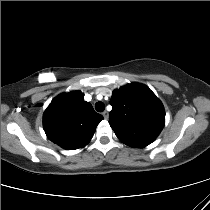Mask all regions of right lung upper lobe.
Here are the masks:
<instances>
[{
	"mask_svg": "<svg viewBox=\"0 0 210 210\" xmlns=\"http://www.w3.org/2000/svg\"><path fill=\"white\" fill-rule=\"evenodd\" d=\"M80 91L57 96L47 107L43 126L47 137L67 150L89 143L103 116L96 113Z\"/></svg>",
	"mask_w": 210,
	"mask_h": 210,
	"instance_id": "right-lung-upper-lobe-1",
	"label": "right lung upper lobe"
}]
</instances>
